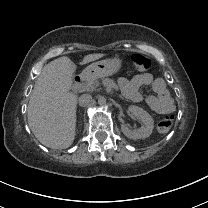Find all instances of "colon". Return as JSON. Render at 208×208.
<instances>
[{
  "label": "colon",
  "instance_id": "obj_1",
  "mask_svg": "<svg viewBox=\"0 0 208 208\" xmlns=\"http://www.w3.org/2000/svg\"><path fill=\"white\" fill-rule=\"evenodd\" d=\"M130 62L131 69L136 72H145L149 70L152 66V61L147 55L137 52L131 54ZM173 123L174 119L172 116H164L158 122V130L161 132H167L172 128Z\"/></svg>",
  "mask_w": 208,
  "mask_h": 208
}]
</instances>
